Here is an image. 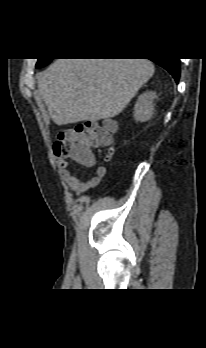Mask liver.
Returning <instances> with one entry per match:
<instances>
[{
	"label": "liver",
	"mask_w": 206,
	"mask_h": 348,
	"mask_svg": "<svg viewBox=\"0 0 206 348\" xmlns=\"http://www.w3.org/2000/svg\"><path fill=\"white\" fill-rule=\"evenodd\" d=\"M154 72L148 59H56L39 75L37 93L57 125L108 119Z\"/></svg>",
	"instance_id": "1"
}]
</instances>
